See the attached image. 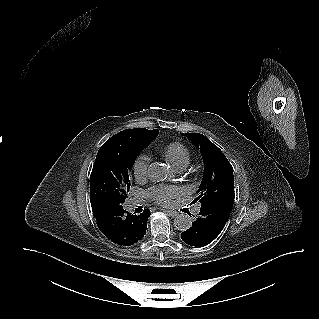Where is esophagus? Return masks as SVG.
Wrapping results in <instances>:
<instances>
[{"mask_svg": "<svg viewBox=\"0 0 319 319\" xmlns=\"http://www.w3.org/2000/svg\"><path fill=\"white\" fill-rule=\"evenodd\" d=\"M164 211L170 217H176L178 215V213L176 211H172V210H164Z\"/></svg>", "mask_w": 319, "mask_h": 319, "instance_id": "1", "label": "esophagus"}]
</instances>
